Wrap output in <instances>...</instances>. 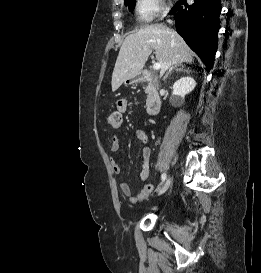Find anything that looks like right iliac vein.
Listing matches in <instances>:
<instances>
[{"label": "right iliac vein", "instance_id": "1", "mask_svg": "<svg viewBox=\"0 0 261 273\" xmlns=\"http://www.w3.org/2000/svg\"><path fill=\"white\" fill-rule=\"evenodd\" d=\"M170 184H171V179L168 178L166 182L164 183V185L162 186V188L159 190L158 195H162L163 193H165L168 190Z\"/></svg>", "mask_w": 261, "mask_h": 273}]
</instances>
